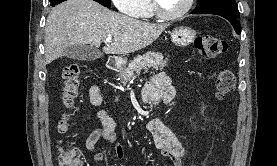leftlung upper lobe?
Segmentation results:
<instances>
[{
	"label": "left lung upper lobe",
	"mask_w": 277,
	"mask_h": 166,
	"mask_svg": "<svg viewBox=\"0 0 277 166\" xmlns=\"http://www.w3.org/2000/svg\"><path fill=\"white\" fill-rule=\"evenodd\" d=\"M192 14H224L239 17L235 0H197V6Z\"/></svg>",
	"instance_id": "obj_1"
}]
</instances>
